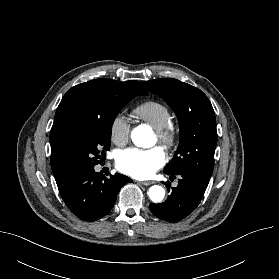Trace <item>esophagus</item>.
Returning <instances> with one entry per match:
<instances>
[{
	"mask_svg": "<svg viewBox=\"0 0 279 279\" xmlns=\"http://www.w3.org/2000/svg\"><path fill=\"white\" fill-rule=\"evenodd\" d=\"M140 184L148 186V185L154 184V182L153 181H141Z\"/></svg>",
	"mask_w": 279,
	"mask_h": 279,
	"instance_id": "34e87169",
	"label": "esophagus"
}]
</instances>
